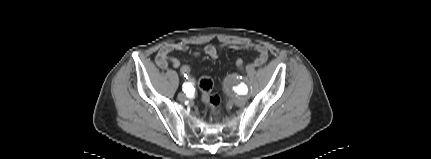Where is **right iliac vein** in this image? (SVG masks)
Returning <instances> with one entry per match:
<instances>
[{
  "instance_id": "1",
  "label": "right iliac vein",
  "mask_w": 431,
  "mask_h": 159,
  "mask_svg": "<svg viewBox=\"0 0 431 159\" xmlns=\"http://www.w3.org/2000/svg\"><path fill=\"white\" fill-rule=\"evenodd\" d=\"M186 98H187V96H186L185 93L181 92V93L178 94V99L180 101H184V100H186Z\"/></svg>"
}]
</instances>
